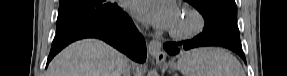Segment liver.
Listing matches in <instances>:
<instances>
[{
  "label": "liver",
  "mask_w": 287,
  "mask_h": 76,
  "mask_svg": "<svg viewBox=\"0 0 287 76\" xmlns=\"http://www.w3.org/2000/svg\"><path fill=\"white\" fill-rule=\"evenodd\" d=\"M127 58L97 39L76 41L49 64L47 76H122Z\"/></svg>",
  "instance_id": "1"
}]
</instances>
